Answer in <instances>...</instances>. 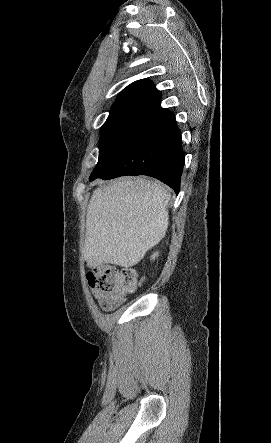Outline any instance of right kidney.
<instances>
[{
    "mask_svg": "<svg viewBox=\"0 0 271 443\" xmlns=\"http://www.w3.org/2000/svg\"><path fill=\"white\" fill-rule=\"evenodd\" d=\"M155 255H157V253H154V255H152V257H155Z\"/></svg>",
    "mask_w": 271,
    "mask_h": 443,
    "instance_id": "ca27d5eb",
    "label": "right kidney"
}]
</instances>
